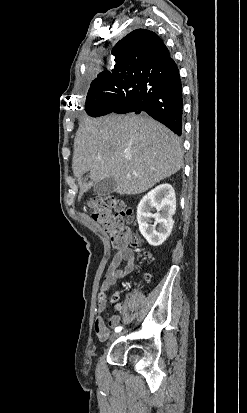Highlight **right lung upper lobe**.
Here are the masks:
<instances>
[{
	"mask_svg": "<svg viewBox=\"0 0 247 413\" xmlns=\"http://www.w3.org/2000/svg\"><path fill=\"white\" fill-rule=\"evenodd\" d=\"M115 65L112 73L103 71L95 80L123 81L132 74L159 72L172 61L163 40L154 32L136 29L112 49Z\"/></svg>",
	"mask_w": 247,
	"mask_h": 413,
	"instance_id": "1",
	"label": "right lung upper lobe"
}]
</instances>
